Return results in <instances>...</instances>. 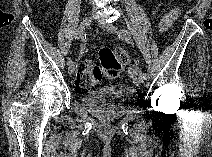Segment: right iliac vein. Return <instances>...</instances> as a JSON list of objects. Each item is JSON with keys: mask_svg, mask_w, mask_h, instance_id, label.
Wrapping results in <instances>:
<instances>
[{"mask_svg": "<svg viewBox=\"0 0 212 157\" xmlns=\"http://www.w3.org/2000/svg\"><path fill=\"white\" fill-rule=\"evenodd\" d=\"M91 22H92L91 17L84 18L80 23L77 33L80 34V36H82L84 34V31L91 25ZM75 69L76 67L74 64L69 65L68 67L69 74H73L75 72Z\"/></svg>", "mask_w": 212, "mask_h": 157, "instance_id": "obj_1", "label": "right iliac vein"}]
</instances>
